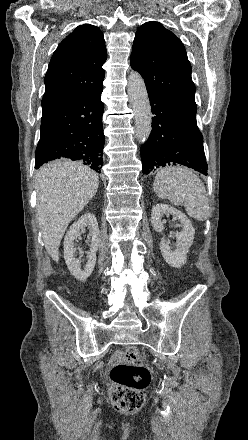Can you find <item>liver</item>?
<instances>
[{"instance_id":"liver-1","label":"liver","mask_w":248,"mask_h":440,"mask_svg":"<svg viewBox=\"0 0 248 440\" xmlns=\"http://www.w3.org/2000/svg\"><path fill=\"white\" fill-rule=\"evenodd\" d=\"M99 178L80 161L56 160L35 175L37 220L48 254L59 260V245L69 223L96 194Z\"/></svg>"}]
</instances>
